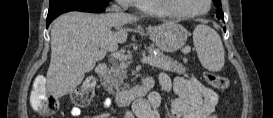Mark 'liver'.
<instances>
[{
    "instance_id": "6515ba94",
    "label": "liver",
    "mask_w": 273,
    "mask_h": 118,
    "mask_svg": "<svg viewBox=\"0 0 273 118\" xmlns=\"http://www.w3.org/2000/svg\"><path fill=\"white\" fill-rule=\"evenodd\" d=\"M138 20L125 13L96 15L76 11L57 18L51 28V60L46 76L49 93L54 98L72 93L107 51L127 40L122 26Z\"/></svg>"
}]
</instances>
